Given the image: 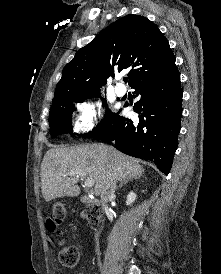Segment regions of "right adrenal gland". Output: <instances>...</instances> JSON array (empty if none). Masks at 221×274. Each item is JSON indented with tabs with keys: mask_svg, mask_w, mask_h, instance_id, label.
Masks as SVG:
<instances>
[{
	"mask_svg": "<svg viewBox=\"0 0 221 274\" xmlns=\"http://www.w3.org/2000/svg\"><path fill=\"white\" fill-rule=\"evenodd\" d=\"M136 179V178H135ZM132 178H126V179H123L120 184H119V188H121L124 184L128 183L129 181H131Z\"/></svg>",
	"mask_w": 221,
	"mask_h": 274,
	"instance_id": "right-adrenal-gland-1",
	"label": "right adrenal gland"
}]
</instances>
